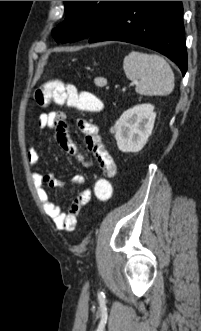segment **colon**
Masks as SVG:
<instances>
[{
  "label": "colon",
  "mask_w": 201,
  "mask_h": 331,
  "mask_svg": "<svg viewBox=\"0 0 201 331\" xmlns=\"http://www.w3.org/2000/svg\"><path fill=\"white\" fill-rule=\"evenodd\" d=\"M35 102L39 106L51 104L67 105L85 112H95L101 108V102L89 92L79 91L74 85L60 80H49L42 84L35 93ZM113 186L110 179L101 176L94 186V196L102 203L112 197Z\"/></svg>",
  "instance_id": "obj_1"
}]
</instances>
